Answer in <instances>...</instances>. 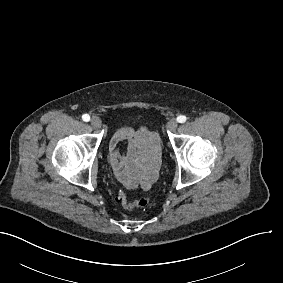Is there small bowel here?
<instances>
[{"label":"small bowel","mask_w":283,"mask_h":283,"mask_svg":"<svg viewBox=\"0 0 283 283\" xmlns=\"http://www.w3.org/2000/svg\"><path fill=\"white\" fill-rule=\"evenodd\" d=\"M127 141L131 148L137 146H144L149 150L150 168L144 173L140 186L144 189V185H151L157 177V168L159 163V148L160 138L159 135L149 130L146 127H141L138 130H134L129 127H121L116 130L114 136L109 144V159L116 178L124 185H132L130 177V169L134 174L140 173V167L136 163H130L136 161L135 155H130L129 160L121 157L119 153V143ZM141 164H147L148 158L145 155L139 156Z\"/></svg>","instance_id":"1"}]
</instances>
